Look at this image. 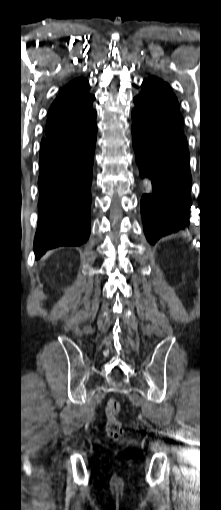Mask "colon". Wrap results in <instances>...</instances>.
Here are the masks:
<instances>
[{"label":"colon","instance_id":"5ec220e1","mask_svg":"<svg viewBox=\"0 0 221 510\" xmlns=\"http://www.w3.org/2000/svg\"><path fill=\"white\" fill-rule=\"evenodd\" d=\"M121 409L120 401L111 399L106 405V433L113 440H121L124 435V430L121 421L118 419V414Z\"/></svg>","mask_w":221,"mask_h":510}]
</instances>
